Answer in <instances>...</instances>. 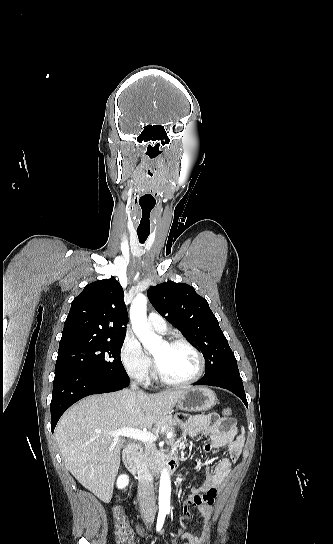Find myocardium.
Masks as SVG:
<instances>
[{"instance_id":"1","label":"myocardium","mask_w":333,"mask_h":544,"mask_svg":"<svg viewBox=\"0 0 333 544\" xmlns=\"http://www.w3.org/2000/svg\"><path fill=\"white\" fill-rule=\"evenodd\" d=\"M164 343L166 345H168V346L183 345V346L189 348L197 356L198 370L195 373V375H193L191 378H189L187 380H184V381H171V380H168V379L164 378V376L161 374V372H160V370L158 368V365H157L155 359H153L154 377H155V379H156V381L158 383H160V384H162L164 386H168V387H185V386H188V385H191V384L197 382L198 380H200L202 378V376L204 375L205 370H206V361H205L204 355L202 354V352L196 346H194L191 342H189L188 340L183 339V338L168 339V340H165Z\"/></svg>"}]
</instances>
